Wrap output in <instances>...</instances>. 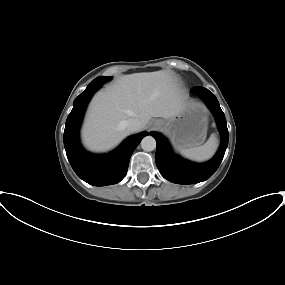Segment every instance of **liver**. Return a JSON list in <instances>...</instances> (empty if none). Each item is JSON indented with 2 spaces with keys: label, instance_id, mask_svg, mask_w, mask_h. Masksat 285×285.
I'll return each mask as SVG.
<instances>
[{
  "label": "liver",
  "instance_id": "6515ba94",
  "mask_svg": "<svg viewBox=\"0 0 285 285\" xmlns=\"http://www.w3.org/2000/svg\"><path fill=\"white\" fill-rule=\"evenodd\" d=\"M185 98L170 71L124 75L92 99L82 137L91 151H107L129 135L124 122L136 118L144 129L152 117L178 115Z\"/></svg>",
  "mask_w": 285,
  "mask_h": 285
}]
</instances>
